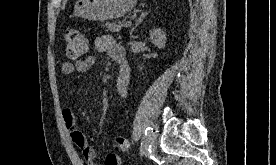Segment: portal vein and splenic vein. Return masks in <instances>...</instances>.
Listing matches in <instances>:
<instances>
[{
	"label": "portal vein and splenic vein",
	"mask_w": 276,
	"mask_h": 165,
	"mask_svg": "<svg viewBox=\"0 0 276 165\" xmlns=\"http://www.w3.org/2000/svg\"><path fill=\"white\" fill-rule=\"evenodd\" d=\"M131 24H132V22L128 21V22L125 23V26H130Z\"/></svg>",
	"instance_id": "1"
}]
</instances>
